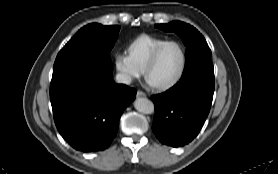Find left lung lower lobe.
I'll return each mask as SVG.
<instances>
[{"mask_svg": "<svg viewBox=\"0 0 278 174\" xmlns=\"http://www.w3.org/2000/svg\"><path fill=\"white\" fill-rule=\"evenodd\" d=\"M213 93L214 78L201 75L179 81L168 91L152 96V130L159 141L173 147L192 141L209 114Z\"/></svg>", "mask_w": 278, "mask_h": 174, "instance_id": "left-lung-lower-lobe-1", "label": "left lung lower lobe"}]
</instances>
